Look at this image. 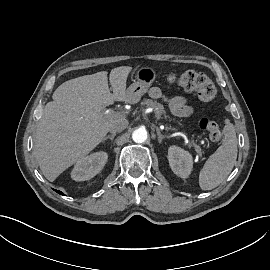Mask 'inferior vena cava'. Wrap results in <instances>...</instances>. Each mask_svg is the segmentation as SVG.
<instances>
[{
    "label": "inferior vena cava",
    "mask_w": 270,
    "mask_h": 270,
    "mask_svg": "<svg viewBox=\"0 0 270 270\" xmlns=\"http://www.w3.org/2000/svg\"><path fill=\"white\" fill-rule=\"evenodd\" d=\"M129 122L126 119H120L111 124L109 131L111 133L121 132L127 128Z\"/></svg>",
    "instance_id": "1"
}]
</instances>
